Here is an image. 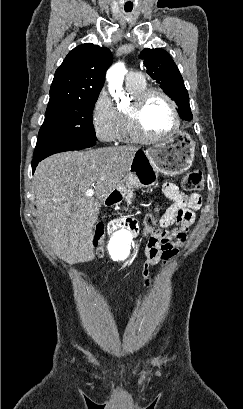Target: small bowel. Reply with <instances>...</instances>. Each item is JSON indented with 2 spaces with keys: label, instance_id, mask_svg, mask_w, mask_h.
I'll return each instance as SVG.
<instances>
[{
  "label": "small bowel",
  "instance_id": "1",
  "mask_svg": "<svg viewBox=\"0 0 243 409\" xmlns=\"http://www.w3.org/2000/svg\"><path fill=\"white\" fill-rule=\"evenodd\" d=\"M164 195L173 201L172 205L161 215L160 227H172L163 234L149 237L145 247L146 261L143 265L142 275L146 287L151 285L150 267L161 263L166 265L178 253L180 246L185 242L187 233L194 223V211L200 207L201 197L198 194L186 195L170 182L163 186ZM114 312L119 309L112 308Z\"/></svg>",
  "mask_w": 243,
  "mask_h": 409
}]
</instances>
